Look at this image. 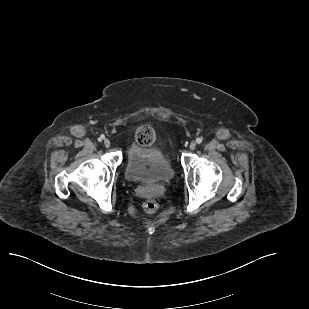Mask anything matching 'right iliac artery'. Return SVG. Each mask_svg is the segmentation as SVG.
Instances as JSON below:
<instances>
[{
	"mask_svg": "<svg viewBox=\"0 0 309 309\" xmlns=\"http://www.w3.org/2000/svg\"><path fill=\"white\" fill-rule=\"evenodd\" d=\"M104 138H105V136H104V135H101V136L98 138V141L101 142Z\"/></svg>",
	"mask_w": 309,
	"mask_h": 309,
	"instance_id": "obj_1",
	"label": "right iliac artery"
}]
</instances>
